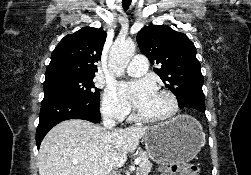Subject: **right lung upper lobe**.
Segmentation results:
<instances>
[{"label":"right lung upper lobe","mask_w":251,"mask_h":175,"mask_svg":"<svg viewBox=\"0 0 251 175\" xmlns=\"http://www.w3.org/2000/svg\"><path fill=\"white\" fill-rule=\"evenodd\" d=\"M106 40L103 29L83 27L65 36L51 54V62L46 69V77L95 76Z\"/></svg>","instance_id":"1"}]
</instances>
